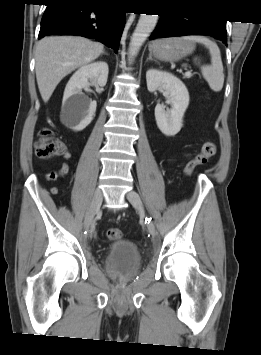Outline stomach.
Returning <instances> with one entry per match:
<instances>
[{
  "instance_id": "stomach-1",
  "label": "stomach",
  "mask_w": 261,
  "mask_h": 355,
  "mask_svg": "<svg viewBox=\"0 0 261 355\" xmlns=\"http://www.w3.org/2000/svg\"><path fill=\"white\" fill-rule=\"evenodd\" d=\"M195 44L183 38L155 40L149 46L150 54L161 61H177L193 52Z\"/></svg>"
}]
</instances>
